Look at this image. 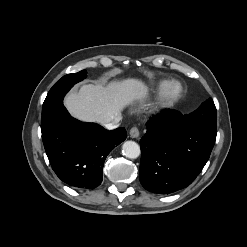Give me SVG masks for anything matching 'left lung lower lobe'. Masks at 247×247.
<instances>
[{"mask_svg": "<svg viewBox=\"0 0 247 247\" xmlns=\"http://www.w3.org/2000/svg\"><path fill=\"white\" fill-rule=\"evenodd\" d=\"M140 141L139 178L154 193L187 187L209 159L217 130L194 125L175 110H165L147 123Z\"/></svg>", "mask_w": 247, "mask_h": 247, "instance_id": "0a47b994", "label": "left lung lower lobe"}]
</instances>
